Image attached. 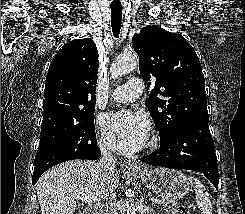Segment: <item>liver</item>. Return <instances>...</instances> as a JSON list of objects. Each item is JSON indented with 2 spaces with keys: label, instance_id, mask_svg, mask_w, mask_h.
Instances as JSON below:
<instances>
[{
  "label": "liver",
  "instance_id": "liver-1",
  "mask_svg": "<svg viewBox=\"0 0 245 214\" xmlns=\"http://www.w3.org/2000/svg\"><path fill=\"white\" fill-rule=\"evenodd\" d=\"M119 183L116 170L105 172L92 161H68L46 171L36 184L41 214H73L78 195L108 199Z\"/></svg>",
  "mask_w": 245,
  "mask_h": 214
}]
</instances>
